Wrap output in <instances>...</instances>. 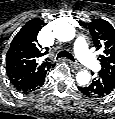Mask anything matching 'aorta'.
<instances>
[{
  "mask_svg": "<svg viewBox=\"0 0 115 119\" xmlns=\"http://www.w3.org/2000/svg\"><path fill=\"white\" fill-rule=\"evenodd\" d=\"M55 37L61 42H68L74 39L76 33L75 28L69 23L62 22L54 28ZM91 75L87 70L80 71L76 75L77 83L81 86L87 85L90 82Z\"/></svg>",
  "mask_w": 115,
  "mask_h": 119,
  "instance_id": "762f6f07",
  "label": "aorta"
}]
</instances>
